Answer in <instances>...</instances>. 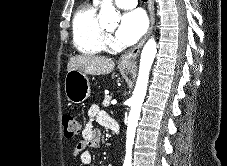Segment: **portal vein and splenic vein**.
<instances>
[{"label":"portal vein and splenic vein","instance_id":"18ae733b","mask_svg":"<svg viewBox=\"0 0 227 166\" xmlns=\"http://www.w3.org/2000/svg\"><path fill=\"white\" fill-rule=\"evenodd\" d=\"M111 103H112V105H115L117 102L116 101H112Z\"/></svg>","mask_w":227,"mask_h":166}]
</instances>
